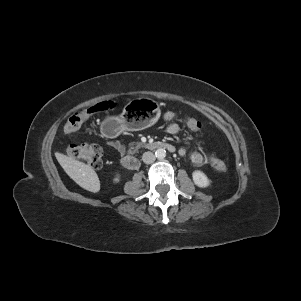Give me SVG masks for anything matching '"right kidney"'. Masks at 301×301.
I'll return each mask as SVG.
<instances>
[{
  "instance_id": "obj_1",
  "label": "right kidney",
  "mask_w": 301,
  "mask_h": 301,
  "mask_svg": "<svg viewBox=\"0 0 301 301\" xmlns=\"http://www.w3.org/2000/svg\"><path fill=\"white\" fill-rule=\"evenodd\" d=\"M114 183H118L120 181L119 174H116L115 178L113 179Z\"/></svg>"
}]
</instances>
